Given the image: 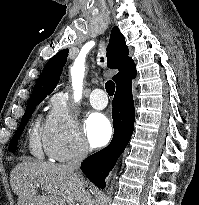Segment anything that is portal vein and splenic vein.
I'll use <instances>...</instances> for the list:
<instances>
[{"mask_svg":"<svg viewBox=\"0 0 199 205\" xmlns=\"http://www.w3.org/2000/svg\"><path fill=\"white\" fill-rule=\"evenodd\" d=\"M57 194L61 197H64V199L66 200V202L68 203V205H75V202L73 201V199L68 198L67 196H65L63 193L57 191Z\"/></svg>","mask_w":199,"mask_h":205,"instance_id":"portal-vein-and-splenic-vein-1","label":"portal vein and splenic vein"}]
</instances>
